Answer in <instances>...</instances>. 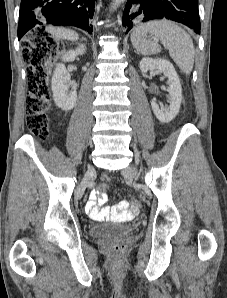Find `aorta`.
I'll return each instance as SVG.
<instances>
[{"instance_id":"obj_1","label":"aorta","mask_w":227,"mask_h":298,"mask_svg":"<svg viewBox=\"0 0 227 298\" xmlns=\"http://www.w3.org/2000/svg\"><path fill=\"white\" fill-rule=\"evenodd\" d=\"M125 0H113V3H112V9L115 10L117 9V7L123 3Z\"/></svg>"}]
</instances>
